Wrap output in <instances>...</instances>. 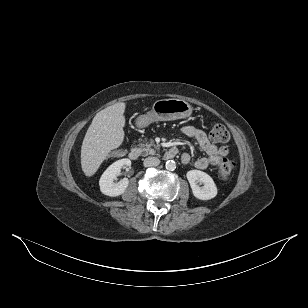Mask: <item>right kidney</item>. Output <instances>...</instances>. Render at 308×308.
Returning a JSON list of instances; mask_svg holds the SVG:
<instances>
[{
    "instance_id": "obj_1",
    "label": "right kidney",
    "mask_w": 308,
    "mask_h": 308,
    "mask_svg": "<svg viewBox=\"0 0 308 308\" xmlns=\"http://www.w3.org/2000/svg\"><path fill=\"white\" fill-rule=\"evenodd\" d=\"M125 166H131V161L127 158L120 159L110 165L102 174L99 185L100 191L107 196L116 197L123 194L129 185L128 178L122 179L118 183H114L116 175Z\"/></svg>"
}]
</instances>
